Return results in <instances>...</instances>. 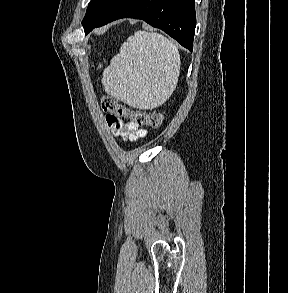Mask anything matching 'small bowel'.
Masks as SVG:
<instances>
[{
	"mask_svg": "<svg viewBox=\"0 0 288 293\" xmlns=\"http://www.w3.org/2000/svg\"><path fill=\"white\" fill-rule=\"evenodd\" d=\"M106 124L114 135L123 140L136 141L147 135V131L141 129L134 122H124L119 118L113 117L111 114L106 116Z\"/></svg>",
	"mask_w": 288,
	"mask_h": 293,
	"instance_id": "1",
	"label": "small bowel"
}]
</instances>
